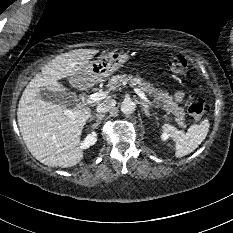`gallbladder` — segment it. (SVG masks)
<instances>
[{
	"label": "gallbladder",
	"instance_id": "1",
	"mask_svg": "<svg viewBox=\"0 0 233 233\" xmlns=\"http://www.w3.org/2000/svg\"><path fill=\"white\" fill-rule=\"evenodd\" d=\"M39 97L45 101H49L54 104H63L74 99L73 95H64L60 92L51 91L48 89H41L39 92Z\"/></svg>",
	"mask_w": 233,
	"mask_h": 233
}]
</instances>
